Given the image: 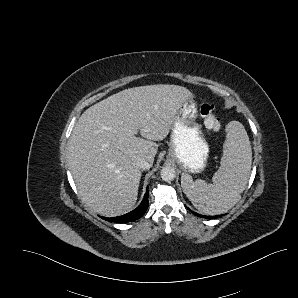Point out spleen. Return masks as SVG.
Returning <instances> with one entry per match:
<instances>
[{
	"label": "spleen",
	"mask_w": 298,
	"mask_h": 298,
	"mask_svg": "<svg viewBox=\"0 0 298 298\" xmlns=\"http://www.w3.org/2000/svg\"><path fill=\"white\" fill-rule=\"evenodd\" d=\"M225 131L223 156L212 183L202 179L193 181L191 175H182L184 193L193 206L206 215L231 209L240 200L250 176L252 148L245 127L239 121H230Z\"/></svg>",
	"instance_id": "3e777b00"
}]
</instances>
